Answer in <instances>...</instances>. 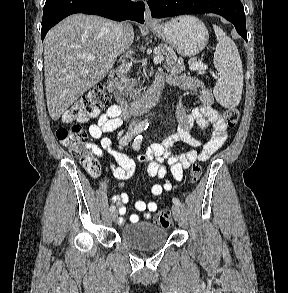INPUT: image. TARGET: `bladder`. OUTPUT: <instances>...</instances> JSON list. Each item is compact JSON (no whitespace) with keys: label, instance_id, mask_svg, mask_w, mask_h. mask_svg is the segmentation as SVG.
<instances>
[{"label":"bladder","instance_id":"bladder-1","mask_svg":"<svg viewBox=\"0 0 288 293\" xmlns=\"http://www.w3.org/2000/svg\"><path fill=\"white\" fill-rule=\"evenodd\" d=\"M120 237L127 245L136 249H156L163 246L168 239L167 230L151 222H137L124 226Z\"/></svg>","mask_w":288,"mask_h":293}]
</instances>
